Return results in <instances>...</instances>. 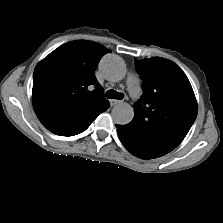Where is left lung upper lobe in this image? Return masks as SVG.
Listing matches in <instances>:
<instances>
[{
	"mask_svg": "<svg viewBox=\"0 0 223 223\" xmlns=\"http://www.w3.org/2000/svg\"><path fill=\"white\" fill-rule=\"evenodd\" d=\"M143 80V95L127 124L137 142L166 152L185 138L198 112L191 84L174 62L153 57L135 62Z\"/></svg>",
	"mask_w": 223,
	"mask_h": 223,
	"instance_id": "left-lung-upper-lobe-1",
	"label": "left lung upper lobe"
}]
</instances>
